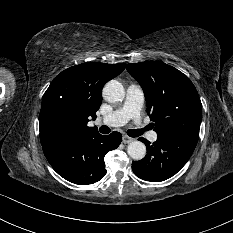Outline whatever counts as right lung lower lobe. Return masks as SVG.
<instances>
[{
  "label": "right lung lower lobe",
  "mask_w": 233,
  "mask_h": 233,
  "mask_svg": "<svg viewBox=\"0 0 233 233\" xmlns=\"http://www.w3.org/2000/svg\"><path fill=\"white\" fill-rule=\"evenodd\" d=\"M121 139L119 132L110 135L93 132L48 143L42 148L48 162L60 176L74 184L88 185L104 177V156L116 149Z\"/></svg>",
  "instance_id": "obj_1"
}]
</instances>
